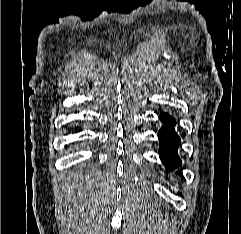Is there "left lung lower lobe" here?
Instances as JSON below:
<instances>
[{
    "label": "left lung lower lobe",
    "mask_w": 241,
    "mask_h": 234,
    "mask_svg": "<svg viewBox=\"0 0 241 234\" xmlns=\"http://www.w3.org/2000/svg\"><path fill=\"white\" fill-rule=\"evenodd\" d=\"M160 119L163 121V127L158 132L159 155L167 170H172L182 163L177 154L180 139L174 130L175 120L167 113L161 114Z\"/></svg>",
    "instance_id": "1"
}]
</instances>
